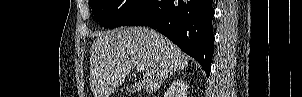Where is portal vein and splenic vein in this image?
<instances>
[{
	"mask_svg": "<svg viewBox=\"0 0 302 97\" xmlns=\"http://www.w3.org/2000/svg\"><path fill=\"white\" fill-rule=\"evenodd\" d=\"M136 70H137V72L142 73V72H144L145 67H144V65L139 64L136 66Z\"/></svg>",
	"mask_w": 302,
	"mask_h": 97,
	"instance_id": "obj_1",
	"label": "portal vein and splenic vein"
}]
</instances>
